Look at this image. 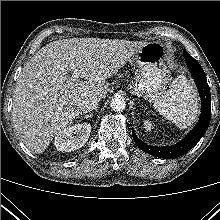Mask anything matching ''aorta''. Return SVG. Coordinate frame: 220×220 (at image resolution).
Here are the masks:
<instances>
[{
  "label": "aorta",
  "mask_w": 220,
  "mask_h": 220,
  "mask_svg": "<svg viewBox=\"0 0 220 220\" xmlns=\"http://www.w3.org/2000/svg\"><path fill=\"white\" fill-rule=\"evenodd\" d=\"M110 106H111L112 110L120 112V111H123L125 109L126 101L121 96L114 97L111 100Z\"/></svg>",
  "instance_id": "aorta-1"
}]
</instances>
